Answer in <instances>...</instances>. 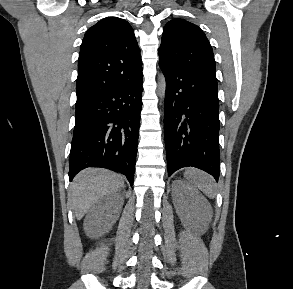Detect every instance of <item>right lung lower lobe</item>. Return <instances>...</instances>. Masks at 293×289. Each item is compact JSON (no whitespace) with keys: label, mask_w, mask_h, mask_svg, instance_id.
Segmentation results:
<instances>
[{"label":"right lung lower lobe","mask_w":293,"mask_h":289,"mask_svg":"<svg viewBox=\"0 0 293 289\" xmlns=\"http://www.w3.org/2000/svg\"><path fill=\"white\" fill-rule=\"evenodd\" d=\"M143 76L76 106L69 179L97 166L123 173L133 185Z\"/></svg>","instance_id":"1"}]
</instances>
